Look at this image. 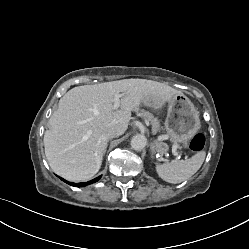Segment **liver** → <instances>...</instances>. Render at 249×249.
<instances>
[{
  "instance_id": "obj_1",
  "label": "liver",
  "mask_w": 249,
  "mask_h": 249,
  "mask_svg": "<svg viewBox=\"0 0 249 249\" xmlns=\"http://www.w3.org/2000/svg\"><path fill=\"white\" fill-rule=\"evenodd\" d=\"M121 93V94H120ZM121 95L120 109L113 108ZM180 91L157 81L124 79L83 85L69 90L58 103L44 134L45 155L51 169L69 181H86L100 169L107 141L101 138L107 127L124 134L131 111L141 103L161 108ZM145 98L151 102H145Z\"/></svg>"
}]
</instances>
